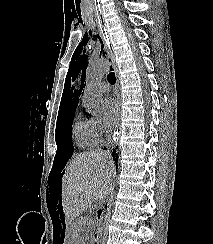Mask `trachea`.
Listing matches in <instances>:
<instances>
[{"instance_id":"obj_1","label":"trachea","mask_w":213,"mask_h":244,"mask_svg":"<svg viewBox=\"0 0 213 244\" xmlns=\"http://www.w3.org/2000/svg\"><path fill=\"white\" fill-rule=\"evenodd\" d=\"M112 71V69H111ZM107 80L110 84H115L116 82V77H115V73L114 72H110L107 76Z\"/></svg>"}]
</instances>
